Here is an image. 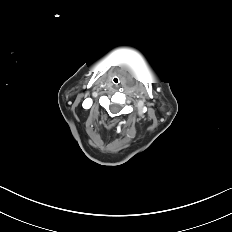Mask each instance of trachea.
Wrapping results in <instances>:
<instances>
[{
	"label": "trachea",
	"mask_w": 232,
	"mask_h": 232,
	"mask_svg": "<svg viewBox=\"0 0 232 232\" xmlns=\"http://www.w3.org/2000/svg\"><path fill=\"white\" fill-rule=\"evenodd\" d=\"M111 82H112V84L113 85H119L120 84V78L118 77V76H113L112 78H111Z\"/></svg>",
	"instance_id": "1"
}]
</instances>
